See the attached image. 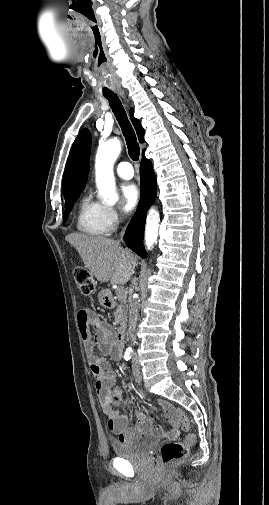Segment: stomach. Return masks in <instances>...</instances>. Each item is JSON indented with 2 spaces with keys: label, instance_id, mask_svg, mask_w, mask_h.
I'll list each match as a JSON object with an SVG mask.
<instances>
[{
  "label": "stomach",
  "instance_id": "0dacf381",
  "mask_svg": "<svg viewBox=\"0 0 269 505\" xmlns=\"http://www.w3.org/2000/svg\"><path fill=\"white\" fill-rule=\"evenodd\" d=\"M99 301H100V303H101L102 305H104V304H105V300L103 299L102 294H100Z\"/></svg>",
  "mask_w": 269,
  "mask_h": 505
}]
</instances>
